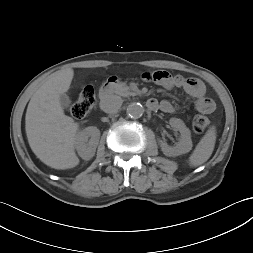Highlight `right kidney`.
<instances>
[{
	"label": "right kidney",
	"mask_w": 253,
	"mask_h": 253,
	"mask_svg": "<svg viewBox=\"0 0 253 253\" xmlns=\"http://www.w3.org/2000/svg\"><path fill=\"white\" fill-rule=\"evenodd\" d=\"M100 138V130L90 126L80 131L75 140V148L84 160H90L96 151Z\"/></svg>",
	"instance_id": "obj_1"
}]
</instances>
